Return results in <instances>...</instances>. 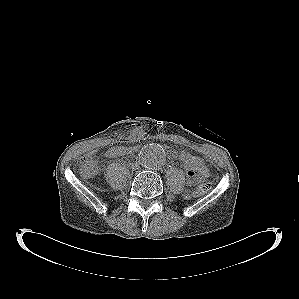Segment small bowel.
<instances>
[{
	"instance_id": "1",
	"label": "small bowel",
	"mask_w": 299,
	"mask_h": 299,
	"mask_svg": "<svg viewBox=\"0 0 299 299\" xmlns=\"http://www.w3.org/2000/svg\"><path fill=\"white\" fill-rule=\"evenodd\" d=\"M137 146H115L110 148L106 155L111 158L132 155L137 151ZM187 182L189 185H195L204 179L207 175V169L201 163L198 168H186Z\"/></svg>"
}]
</instances>
